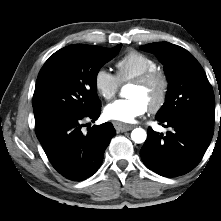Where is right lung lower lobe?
I'll return each mask as SVG.
<instances>
[{"label":"right lung lower lobe","instance_id":"right-lung-lower-lobe-1","mask_svg":"<svg viewBox=\"0 0 221 221\" xmlns=\"http://www.w3.org/2000/svg\"><path fill=\"white\" fill-rule=\"evenodd\" d=\"M100 107L85 115L62 118L37 136L55 170L71 181L85 180L97 172L104 151L116 134L110 122L93 126L83 134V120H97Z\"/></svg>","mask_w":221,"mask_h":221}]
</instances>
